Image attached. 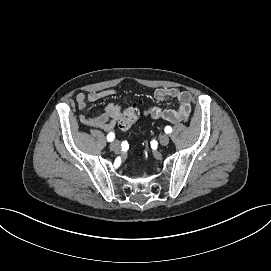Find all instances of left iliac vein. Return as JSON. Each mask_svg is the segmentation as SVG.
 Segmentation results:
<instances>
[{
    "mask_svg": "<svg viewBox=\"0 0 271 271\" xmlns=\"http://www.w3.org/2000/svg\"><path fill=\"white\" fill-rule=\"evenodd\" d=\"M159 142L161 145L166 146L169 143V137L167 135L163 134L159 137Z\"/></svg>",
    "mask_w": 271,
    "mask_h": 271,
    "instance_id": "1",
    "label": "left iliac vein"
}]
</instances>
